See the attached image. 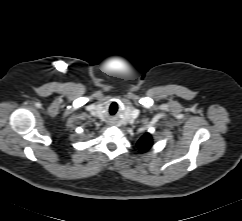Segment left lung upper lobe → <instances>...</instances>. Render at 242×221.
I'll return each instance as SVG.
<instances>
[{
  "label": "left lung upper lobe",
  "instance_id": "5c2ea615",
  "mask_svg": "<svg viewBox=\"0 0 242 221\" xmlns=\"http://www.w3.org/2000/svg\"><path fill=\"white\" fill-rule=\"evenodd\" d=\"M140 152H146L152 146V138L149 133L144 134L137 143Z\"/></svg>",
  "mask_w": 242,
  "mask_h": 221
}]
</instances>
